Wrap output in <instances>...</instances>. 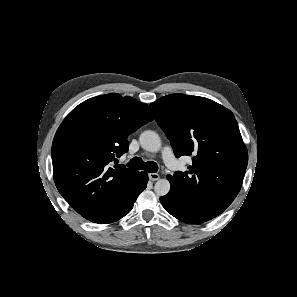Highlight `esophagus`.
I'll return each instance as SVG.
<instances>
[{
  "instance_id": "34e87169",
  "label": "esophagus",
  "mask_w": 297,
  "mask_h": 297,
  "mask_svg": "<svg viewBox=\"0 0 297 297\" xmlns=\"http://www.w3.org/2000/svg\"><path fill=\"white\" fill-rule=\"evenodd\" d=\"M149 180L156 181L160 178V176L157 173H149Z\"/></svg>"
}]
</instances>
